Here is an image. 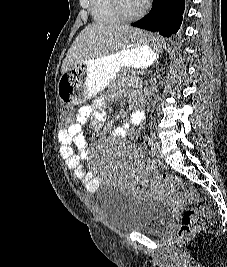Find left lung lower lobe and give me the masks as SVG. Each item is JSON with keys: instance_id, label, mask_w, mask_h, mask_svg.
<instances>
[{"instance_id": "obj_1", "label": "left lung lower lobe", "mask_w": 227, "mask_h": 267, "mask_svg": "<svg viewBox=\"0 0 227 267\" xmlns=\"http://www.w3.org/2000/svg\"><path fill=\"white\" fill-rule=\"evenodd\" d=\"M184 8L185 0H154L150 12L131 25L170 37L176 34L181 26Z\"/></svg>"}]
</instances>
